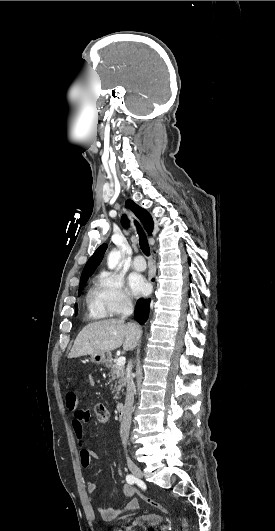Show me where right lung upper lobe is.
<instances>
[{
	"label": "right lung upper lobe",
	"instance_id": "right-lung-upper-lobe-1",
	"mask_svg": "<svg viewBox=\"0 0 275 531\" xmlns=\"http://www.w3.org/2000/svg\"><path fill=\"white\" fill-rule=\"evenodd\" d=\"M126 207L129 208L135 214V216L139 219V221L144 226L147 233L151 235L153 231V220H152L151 215L146 210H144L143 208L138 206L136 203H134L132 200L126 201ZM122 224L124 227H128L129 220L127 219L126 215L122 216ZM106 249H107V244H102L90 257V259L88 260V262L86 263L83 269L81 279H80V284H83L84 282H86L88 279V276L91 275L93 271L96 269V267L99 265Z\"/></svg>",
	"mask_w": 275,
	"mask_h": 531
}]
</instances>
